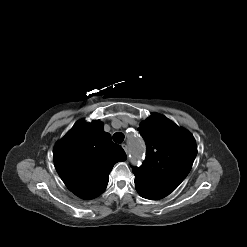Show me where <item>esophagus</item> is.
<instances>
[{
	"label": "esophagus",
	"instance_id": "1",
	"mask_svg": "<svg viewBox=\"0 0 247 247\" xmlns=\"http://www.w3.org/2000/svg\"><path fill=\"white\" fill-rule=\"evenodd\" d=\"M122 148L124 149V151L126 152V154H128V146L127 144H122Z\"/></svg>",
	"mask_w": 247,
	"mask_h": 247
}]
</instances>
